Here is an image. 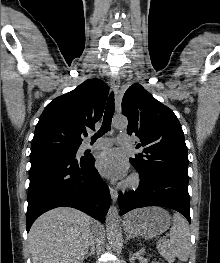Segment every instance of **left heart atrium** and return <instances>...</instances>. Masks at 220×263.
<instances>
[{
	"mask_svg": "<svg viewBox=\"0 0 220 263\" xmlns=\"http://www.w3.org/2000/svg\"><path fill=\"white\" fill-rule=\"evenodd\" d=\"M96 168L105 177L119 179L127 172V163L121 153L114 149L101 152L96 158Z\"/></svg>",
	"mask_w": 220,
	"mask_h": 263,
	"instance_id": "39dd6f15",
	"label": "left heart atrium"
}]
</instances>
